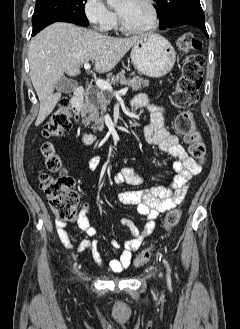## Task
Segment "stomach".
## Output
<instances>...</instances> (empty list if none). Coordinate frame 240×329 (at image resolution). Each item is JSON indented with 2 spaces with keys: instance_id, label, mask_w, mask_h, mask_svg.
Masks as SVG:
<instances>
[{
  "instance_id": "1",
  "label": "stomach",
  "mask_w": 240,
  "mask_h": 329,
  "mask_svg": "<svg viewBox=\"0 0 240 329\" xmlns=\"http://www.w3.org/2000/svg\"><path fill=\"white\" fill-rule=\"evenodd\" d=\"M135 69L143 75L159 78L171 71L176 61V52L171 43L158 34L139 38L131 50Z\"/></svg>"
}]
</instances>
